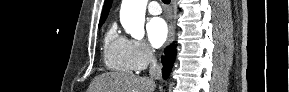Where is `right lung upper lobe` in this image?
<instances>
[{
    "instance_id": "cb5924a9",
    "label": "right lung upper lobe",
    "mask_w": 289,
    "mask_h": 92,
    "mask_svg": "<svg viewBox=\"0 0 289 92\" xmlns=\"http://www.w3.org/2000/svg\"><path fill=\"white\" fill-rule=\"evenodd\" d=\"M111 3H112V0H105V4H104V8L102 11V15H101L99 24H101V23L103 24L104 21L106 20L108 12H109L110 7H111Z\"/></svg>"
}]
</instances>
